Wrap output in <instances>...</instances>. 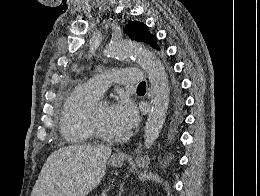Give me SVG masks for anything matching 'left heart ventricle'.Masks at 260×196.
Wrapping results in <instances>:
<instances>
[{
    "instance_id": "b2bd125f",
    "label": "left heart ventricle",
    "mask_w": 260,
    "mask_h": 196,
    "mask_svg": "<svg viewBox=\"0 0 260 196\" xmlns=\"http://www.w3.org/2000/svg\"><path fill=\"white\" fill-rule=\"evenodd\" d=\"M95 119L100 128L106 132L113 134L117 132L111 118L110 106L108 104H101L95 114Z\"/></svg>"
}]
</instances>
